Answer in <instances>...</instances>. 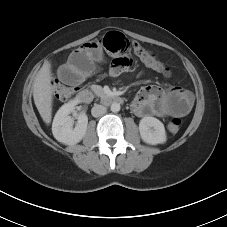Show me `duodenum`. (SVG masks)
<instances>
[{
	"label": "duodenum",
	"mask_w": 227,
	"mask_h": 227,
	"mask_svg": "<svg viewBox=\"0 0 227 227\" xmlns=\"http://www.w3.org/2000/svg\"><path fill=\"white\" fill-rule=\"evenodd\" d=\"M94 98V94L89 89H83L78 94V99L83 103H90ZM104 101L110 103H122L123 98L117 94H110L104 97Z\"/></svg>",
	"instance_id": "duodenum-1"
}]
</instances>
